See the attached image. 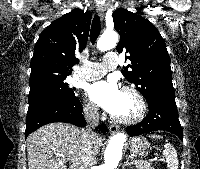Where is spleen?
<instances>
[{
  "mask_svg": "<svg viewBox=\"0 0 200 169\" xmlns=\"http://www.w3.org/2000/svg\"><path fill=\"white\" fill-rule=\"evenodd\" d=\"M152 138H161V136L151 135ZM163 156L166 159L168 169H178V157L176 150L171 144L166 143L164 146Z\"/></svg>",
  "mask_w": 200,
  "mask_h": 169,
  "instance_id": "obj_1",
  "label": "spleen"
}]
</instances>
